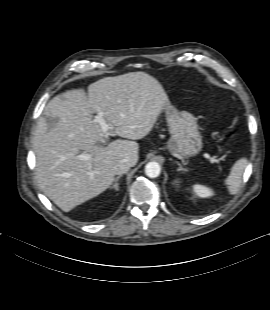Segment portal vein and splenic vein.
<instances>
[{
    "label": "portal vein and splenic vein",
    "mask_w": 270,
    "mask_h": 310,
    "mask_svg": "<svg viewBox=\"0 0 270 310\" xmlns=\"http://www.w3.org/2000/svg\"><path fill=\"white\" fill-rule=\"evenodd\" d=\"M94 120L99 123V125L101 126L102 128V131L104 133H106L109 129V125L106 123V121L104 120L103 118V113L102 112H99L95 117H94ZM206 158H208L212 163H215L217 162L218 160L215 159L214 157H211L209 155H205ZM90 158V156L88 154H80L78 155V159L79 160H88Z\"/></svg>",
    "instance_id": "1"
}]
</instances>
